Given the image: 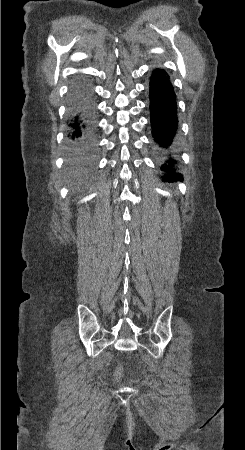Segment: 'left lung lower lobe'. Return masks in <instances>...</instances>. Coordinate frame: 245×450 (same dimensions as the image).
Instances as JSON below:
<instances>
[{"label":"left lung lower lobe","instance_id":"1","mask_svg":"<svg viewBox=\"0 0 245 450\" xmlns=\"http://www.w3.org/2000/svg\"><path fill=\"white\" fill-rule=\"evenodd\" d=\"M150 117L153 136L161 150L171 157L174 154V138L178 131L177 102L174 88L166 73L157 69L150 80ZM171 165L174 163L170 159ZM166 179L182 180V176L170 173L171 167L163 168Z\"/></svg>","mask_w":245,"mask_h":450}]
</instances>
